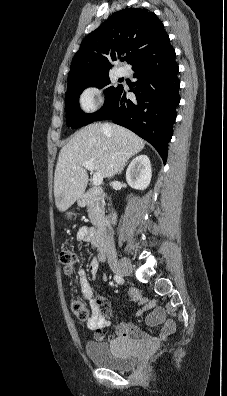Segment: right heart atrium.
I'll list each match as a JSON object with an SVG mask.
<instances>
[{
  "mask_svg": "<svg viewBox=\"0 0 227 396\" xmlns=\"http://www.w3.org/2000/svg\"><path fill=\"white\" fill-rule=\"evenodd\" d=\"M104 103L103 90L97 85L86 87L79 96L80 108L85 114L97 112Z\"/></svg>",
  "mask_w": 227,
  "mask_h": 396,
  "instance_id": "obj_1",
  "label": "right heart atrium"
}]
</instances>
